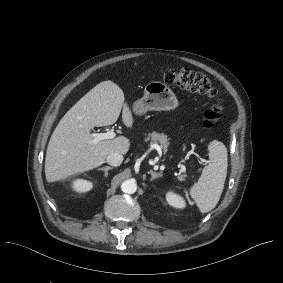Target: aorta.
I'll use <instances>...</instances> for the list:
<instances>
[{
    "instance_id": "1",
    "label": "aorta",
    "mask_w": 283,
    "mask_h": 283,
    "mask_svg": "<svg viewBox=\"0 0 283 283\" xmlns=\"http://www.w3.org/2000/svg\"><path fill=\"white\" fill-rule=\"evenodd\" d=\"M121 190L124 193H127V194L135 193L136 190H137V184H136L135 180L128 179V180L124 181L121 185Z\"/></svg>"
}]
</instances>
